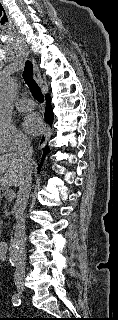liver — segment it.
Returning a JSON list of instances; mask_svg holds the SVG:
<instances>
[{
  "instance_id": "obj_1",
  "label": "liver",
  "mask_w": 118,
  "mask_h": 320,
  "mask_svg": "<svg viewBox=\"0 0 118 320\" xmlns=\"http://www.w3.org/2000/svg\"><path fill=\"white\" fill-rule=\"evenodd\" d=\"M24 167L17 154L0 155V184L2 186H19L24 175Z\"/></svg>"
}]
</instances>
